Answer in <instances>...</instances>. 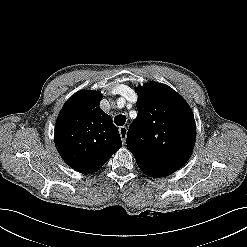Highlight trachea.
Instances as JSON below:
<instances>
[{
  "label": "trachea",
  "mask_w": 247,
  "mask_h": 247,
  "mask_svg": "<svg viewBox=\"0 0 247 247\" xmlns=\"http://www.w3.org/2000/svg\"><path fill=\"white\" fill-rule=\"evenodd\" d=\"M126 122V116L125 115H117L115 118H114V123L117 125V126H123Z\"/></svg>",
  "instance_id": "3493384b"
}]
</instances>
